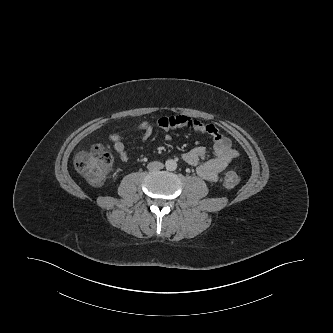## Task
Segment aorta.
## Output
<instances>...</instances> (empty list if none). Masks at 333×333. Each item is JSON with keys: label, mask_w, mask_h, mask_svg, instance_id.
Listing matches in <instances>:
<instances>
[{"label": "aorta", "mask_w": 333, "mask_h": 333, "mask_svg": "<svg viewBox=\"0 0 333 333\" xmlns=\"http://www.w3.org/2000/svg\"><path fill=\"white\" fill-rule=\"evenodd\" d=\"M165 166L168 171H174L177 168V163L175 160L169 159L166 161Z\"/></svg>", "instance_id": "aorta-1"}]
</instances>
